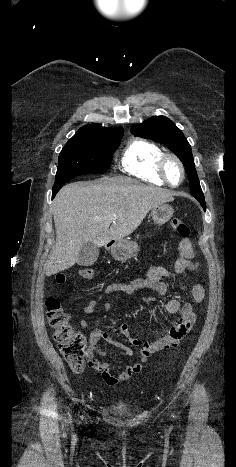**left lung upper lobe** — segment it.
Here are the masks:
<instances>
[{
  "label": "left lung upper lobe",
  "instance_id": "1",
  "mask_svg": "<svg viewBox=\"0 0 236 467\" xmlns=\"http://www.w3.org/2000/svg\"><path fill=\"white\" fill-rule=\"evenodd\" d=\"M132 134L160 142L174 152L185 166L191 193L194 197H204L195 170L191 147L180 129L164 116H154L131 128Z\"/></svg>",
  "mask_w": 236,
  "mask_h": 467
}]
</instances>
